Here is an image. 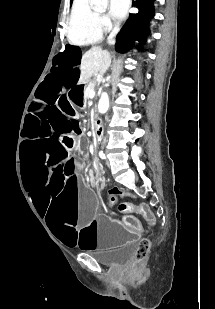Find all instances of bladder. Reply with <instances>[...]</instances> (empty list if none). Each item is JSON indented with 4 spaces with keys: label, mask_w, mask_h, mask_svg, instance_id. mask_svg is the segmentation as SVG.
<instances>
[{
    "label": "bladder",
    "mask_w": 215,
    "mask_h": 309,
    "mask_svg": "<svg viewBox=\"0 0 215 309\" xmlns=\"http://www.w3.org/2000/svg\"><path fill=\"white\" fill-rule=\"evenodd\" d=\"M136 254L134 245H126L119 250L96 256L97 261L108 267H122L128 264Z\"/></svg>",
    "instance_id": "bladder-1"
}]
</instances>
